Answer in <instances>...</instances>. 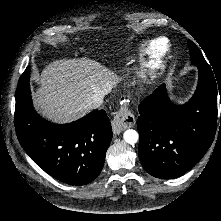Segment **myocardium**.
<instances>
[{
    "label": "myocardium",
    "mask_w": 221,
    "mask_h": 221,
    "mask_svg": "<svg viewBox=\"0 0 221 221\" xmlns=\"http://www.w3.org/2000/svg\"><path fill=\"white\" fill-rule=\"evenodd\" d=\"M164 41L165 46L161 51H157L154 47L157 41ZM172 51L170 40L166 37H158L150 41L145 48V58L140 65L141 71L146 75L158 77L164 70L167 59Z\"/></svg>",
    "instance_id": "myocardium-1"
}]
</instances>
